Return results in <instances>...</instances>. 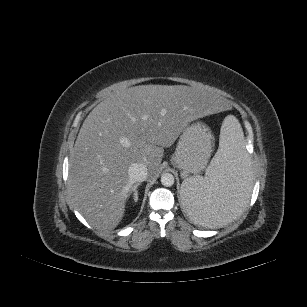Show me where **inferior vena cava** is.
I'll list each match as a JSON object with an SVG mask.
<instances>
[{
	"label": "inferior vena cava",
	"instance_id": "602c4592",
	"mask_svg": "<svg viewBox=\"0 0 307 307\" xmlns=\"http://www.w3.org/2000/svg\"><path fill=\"white\" fill-rule=\"evenodd\" d=\"M128 175L132 182H143L147 178L148 169L142 163H133L128 168Z\"/></svg>",
	"mask_w": 307,
	"mask_h": 307
}]
</instances>
